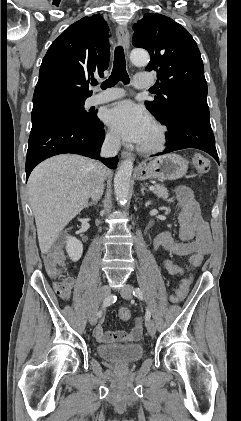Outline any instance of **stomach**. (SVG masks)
<instances>
[{"label": "stomach", "instance_id": "0dacf381", "mask_svg": "<svg viewBox=\"0 0 241 421\" xmlns=\"http://www.w3.org/2000/svg\"><path fill=\"white\" fill-rule=\"evenodd\" d=\"M187 170L186 159L177 154H167L143 162L136 169V174L139 180H175L184 176Z\"/></svg>", "mask_w": 241, "mask_h": 421}]
</instances>
